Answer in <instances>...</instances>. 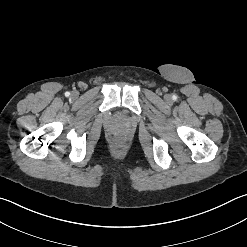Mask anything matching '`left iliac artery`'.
Wrapping results in <instances>:
<instances>
[{
    "mask_svg": "<svg viewBox=\"0 0 247 247\" xmlns=\"http://www.w3.org/2000/svg\"><path fill=\"white\" fill-rule=\"evenodd\" d=\"M172 98H173V100H176L177 99V96L174 95Z\"/></svg>",
    "mask_w": 247,
    "mask_h": 247,
    "instance_id": "44dca946",
    "label": "left iliac artery"
}]
</instances>
